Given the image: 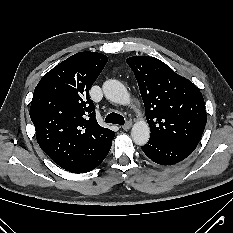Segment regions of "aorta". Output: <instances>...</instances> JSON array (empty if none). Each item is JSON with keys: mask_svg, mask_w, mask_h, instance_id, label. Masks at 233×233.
Returning a JSON list of instances; mask_svg holds the SVG:
<instances>
[{"mask_svg": "<svg viewBox=\"0 0 233 233\" xmlns=\"http://www.w3.org/2000/svg\"><path fill=\"white\" fill-rule=\"evenodd\" d=\"M103 92L105 97L121 105H127L130 103V95L126 87L118 80L110 79L104 82ZM131 137L135 144L145 145L150 137V128L146 121H137L131 129Z\"/></svg>", "mask_w": 233, "mask_h": 233, "instance_id": "obj_1", "label": "aorta"}]
</instances>
